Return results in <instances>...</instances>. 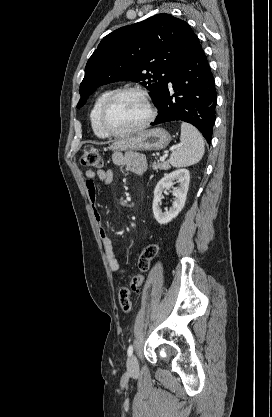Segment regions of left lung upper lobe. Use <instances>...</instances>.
<instances>
[{
    "label": "left lung upper lobe",
    "instance_id": "left-lung-upper-lobe-1",
    "mask_svg": "<svg viewBox=\"0 0 272 417\" xmlns=\"http://www.w3.org/2000/svg\"><path fill=\"white\" fill-rule=\"evenodd\" d=\"M200 48L190 26L169 14L119 28L105 36L89 58L77 108L99 86L116 81L140 82L156 106L174 69Z\"/></svg>",
    "mask_w": 272,
    "mask_h": 417
}]
</instances>
